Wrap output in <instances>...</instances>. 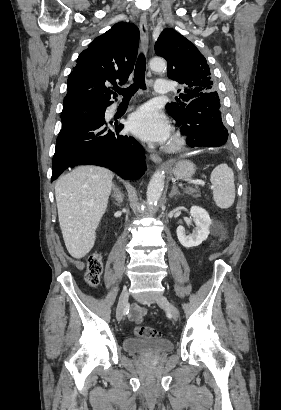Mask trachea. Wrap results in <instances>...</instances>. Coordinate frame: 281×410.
<instances>
[{
	"instance_id": "1",
	"label": "trachea",
	"mask_w": 281,
	"mask_h": 410,
	"mask_svg": "<svg viewBox=\"0 0 281 410\" xmlns=\"http://www.w3.org/2000/svg\"><path fill=\"white\" fill-rule=\"evenodd\" d=\"M145 70H146V60L144 55L141 53L138 57L135 73H134V82L128 88H119L116 87L114 90L123 95L124 99H130L138 89H146L145 84Z\"/></svg>"
}]
</instances>
